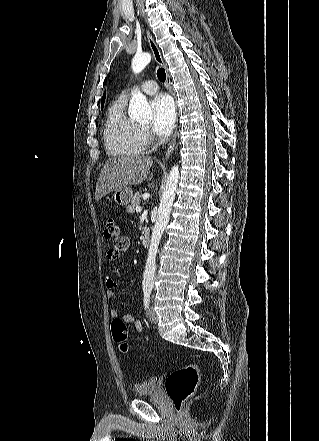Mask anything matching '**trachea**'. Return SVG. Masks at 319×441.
<instances>
[{"label":"trachea","instance_id":"obj_1","mask_svg":"<svg viewBox=\"0 0 319 441\" xmlns=\"http://www.w3.org/2000/svg\"><path fill=\"white\" fill-rule=\"evenodd\" d=\"M157 77L161 82H164L166 80V73L163 68H159L157 70Z\"/></svg>","mask_w":319,"mask_h":441}]
</instances>
